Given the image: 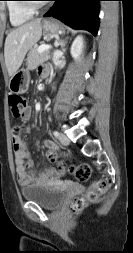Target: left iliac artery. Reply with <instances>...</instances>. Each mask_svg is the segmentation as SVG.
I'll list each match as a JSON object with an SVG mask.
<instances>
[{"mask_svg":"<svg viewBox=\"0 0 133 253\" xmlns=\"http://www.w3.org/2000/svg\"><path fill=\"white\" fill-rule=\"evenodd\" d=\"M53 134H54L55 137L59 136V132L58 131H54Z\"/></svg>","mask_w":133,"mask_h":253,"instance_id":"44dca946","label":"left iliac artery"}]
</instances>
